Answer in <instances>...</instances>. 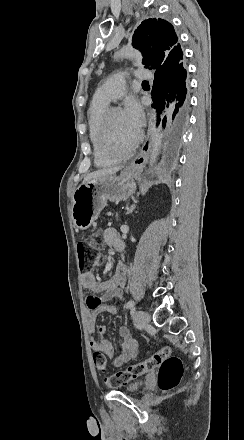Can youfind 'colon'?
Wrapping results in <instances>:
<instances>
[{
  "instance_id": "1",
  "label": "colon",
  "mask_w": 244,
  "mask_h": 440,
  "mask_svg": "<svg viewBox=\"0 0 244 440\" xmlns=\"http://www.w3.org/2000/svg\"><path fill=\"white\" fill-rule=\"evenodd\" d=\"M90 239H79L76 244L79 266L83 273L91 272L100 262L98 248L103 244V237L97 233L93 237L94 243ZM119 345H122V340H119ZM92 361L96 370H107L108 358L103 352H93ZM157 367H159L157 385L163 391L176 387L184 374L183 365L178 358L170 354L168 347H163L150 357L129 365L117 373H109V383L112 387H118L150 373Z\"/></svg>"
}]
</instances>
